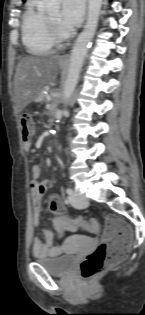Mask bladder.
Listing matches in <instances>:
<instances>
[{
    "mask_svg": "<svg viewBox=\"0 0 145 315\" xmlns=\"http://www.w3.org/2000/svg\"><path fill=\"white\" fill-rule=\"evenodd\" d=\"M75 249H93V248H75ZM36 261L42 264L49 273L57 276L68 274L76 265L77 256H66V254L56 256L51 259L36 258Z\"/></svg>",
    "mask_w": 145,
    "mask_h": 315,
    "instance_id": "1",
    "label": "bladder"
}]
</instances>
